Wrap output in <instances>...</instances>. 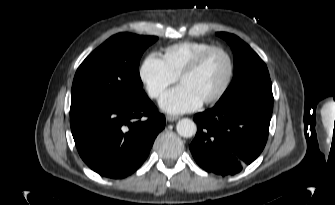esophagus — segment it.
<instances>
[{
  "label": "esophagus",
  "instance_id": "esophagus-1",
  "mask_svg": "<svg viewBox=\"0 0 335 205\" xmlns=\"http://www.w3.org/2000/svg\"><path fill=\"white\" fill-rule=\"evenodd\" d=\"M177 119H178L177 116H173V115H167V116H166V120H167L168 122H174V121H176Z\"/></svg>",
  "mask_w": 335,
  "mask_h": 205
}]
</instances>
